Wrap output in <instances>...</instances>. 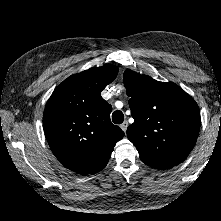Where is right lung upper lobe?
I'll return each instance as SVG.
<instances>
[{
    "instance_id": "right-lung-upper-lobe-1",
    "label": "right lung upper lobe",
    "mask_w": 221,
    "mask_h": 221,
    "mask_svg": "<svg viewBox=\"0 0 221 221\" xmlns=\"http://www.w3.org/2000/svg\"><path fill=\"white\" fill-rule=\"evenodd\" d=\"M117 73L116 66L107 64L74 74L57 86L46 104L43 127L50 149L76 173L102 170L124 136L111 123L112 107L101 97Z\"/></svg>"
}]
</instances>
